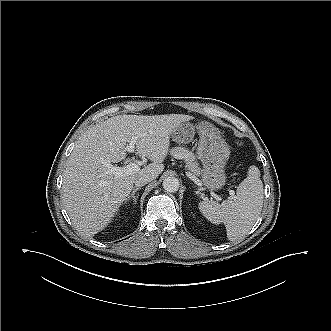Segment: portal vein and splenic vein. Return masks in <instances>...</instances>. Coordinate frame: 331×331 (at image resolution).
I'll return each instance as SVG.
<instances>
[{"label": "portal vein and splenic vein", "mask_w": 331, "mask_h": 331, "mask_svg": "<svg viewBox=\"0 0 331 331\" xmlns=\"http://www.w3.org/2000/svg\"><path fill=\"white\" fill-rule=\"evenodd\" d=\"M134 145H135V140H133L129 143V146L126 147V150H128V151L133 150ZM139 170H140V165L135 162H131L127 166H124V167H114L112 165H108V173L113 174L118 177H121L124 175H132V174L137 173ZM188 177L191 179L195 178L194 176H192L191 173H188ZM234 194H235V192L233 190L229 191V195L231 197L234 196Z\"/></svg>", "instance_id": "18ae733b"}]
</instances>
